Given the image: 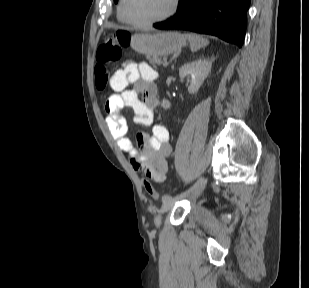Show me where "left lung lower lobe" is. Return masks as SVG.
I'll use <instances>...</instances> for the list:
<instances>
[{
	"instance_id": "0a47b994",
	"label": "left lung lower lobe",
	"mask_w": 309,
	"mask_h": 288,
	"mask_svg": "<svg viewBox=\"0 0 309 288\" xmlns=\"http://www.w3.org/2000/svg\"><path fill=\"white\" fill-rule=\"evenodd\" d=\"M249 5L250 0H179L177 14L153 26L210 34L241 47Z\"/></svg>"
}]
</instances>
